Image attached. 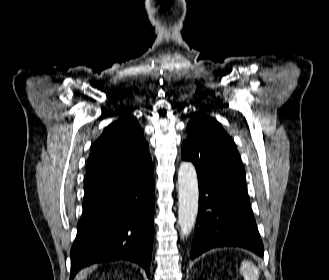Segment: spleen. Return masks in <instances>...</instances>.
<instances>
[{
  "label": "spleen",
  "instance_id": "3e777b00",
  "mask_svg": "<svg viewBox=\"0 0 329 280\" xmlns=\"http://www.w3.org/2000/svg\"><path fill=\"white\" fill-rule=\"evenodd\" d=\"M240 273L244 280H258L259 278L257 267L250 261H243L241 263Z\"/></svg>",
  "mask_w": 329,
  "mask_h": 280
}]
</instances>
